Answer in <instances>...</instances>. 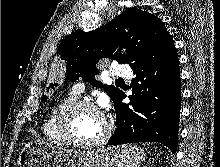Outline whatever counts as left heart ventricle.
<instances>
[{
  "mask_svg": "<svg viewBox=\"0 0 220 167\" xmlns=\"http://www.w3.org/2000/svg\"><path fill=\"white\" fill-rule=\"evenodd\" d=\"M105 127L103 116L88 108L78 109L70 121V132L74 138L91 141L101 136Z\"/></svg>",
  "mask_w": 220,
  "mask_h": 167,
  "instance_id": "1",
  "label": "left heart ventricle"
}]
</instances>
